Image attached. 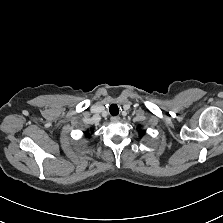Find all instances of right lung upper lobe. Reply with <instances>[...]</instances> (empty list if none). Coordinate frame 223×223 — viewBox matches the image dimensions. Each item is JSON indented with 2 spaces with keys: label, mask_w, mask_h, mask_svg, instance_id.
Here are the masks:
<instances>
[{
  "label": "right lung upper lobe",
  "mask_w": 223,
  "mask_h": 223,
  "mask_svg": "<svg viewBox=\"0 0 223 223\" xmlns=\"http://www.w3.org/2000/svg\"><path fill=\"white\" fill-rule=\"evenodd\" d=\"M91 130H93V129H91ZM86 135H87V136H90V134L88 133V131L86 132Z\"/></svg>",
  "instance_id": "obj_1"
}]
</instances>
